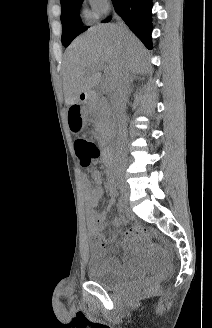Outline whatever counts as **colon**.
Here are the masks:
<instances>
[{"label":"colon","mask_w":212,"mask_h":328,"mask_svg":"<svg viewBox=\"0 0 212 328\" xmlns=\"http://www.w3.org/2000/svg\"><path fill=\"white\" fill-rule=\"evenodd\" d=\"M74 150L81 166L83 167L90 166L92 162L100 155L97 145L93 141L83 136H78L75 138Z\"/></svg>","instance_id":"obj_1"}]
</instances>
